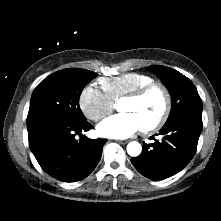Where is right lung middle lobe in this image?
<instances>
[{
  "label": "right lung middle lobe",
  "instance_id": "right-lung-middle-lobe-1",
  "mask_svg": "<svg viewBox=\"0 0 221 221\" xmlns=\"http://www.w3.org/2000/svg\"><path fill=\"white\" fill-rule=\"evenodd\" d=\"M96 75L84 69H64L45 78L33 91L27 116V128L48 120H86L79 98L84 87Z\"/></svg>",
  "mask_w": 221,
  "mask_h": 221
}]
</instances>
